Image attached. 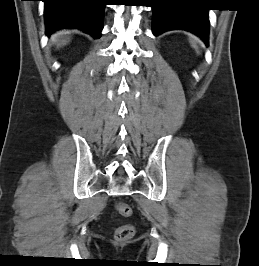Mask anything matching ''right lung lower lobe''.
<instances>
[{
	"instance_id": "right-lung-lower-lobe-1",
	"label": "right lung lower lobe",
	"mask_w": 259,
	"mask_h": 266,
	"mask_svg": "<svg viewBox=\"0 0 259 266\" xmlns=\"http://www.w3.org/2000/svg\"><path fill=\"white\" fill-rule=\"evenodd\" d=\"M46 34L62 28L80 29L101 36L106 0H44Z\"/></svg>"
}]
</instances>
